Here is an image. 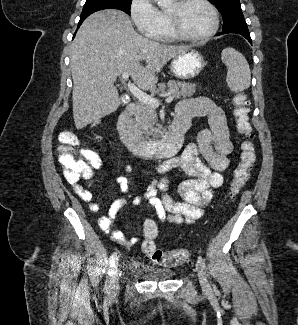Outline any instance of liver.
Instances as JSON below:
<instances>
[{
  "mask_svg": "<svg viewBox=\"0 0 298 325\" xmlns=\"http://www.w3.org/2000/svg\"><path fill=\"white\" fill-rule=\"evenodd\" d=\"M190 46L161 44L138 34L128 14L105 8L82 22L71 44L72 104L76 128L117 110V76L129 72L140 88H155L163 66ZM145 60V64H140Z\"/></svg>",
  "mask_w": 298,
  "mask_h": 325,
  "instance_id": "obj_1",
  "label": "liver"
}]
</instances>
